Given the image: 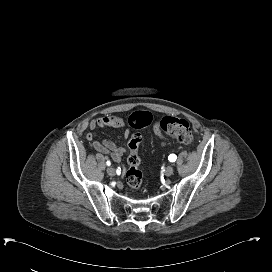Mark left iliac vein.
<instances>
[{"label":"left iliac vein","instance_id":"4c4485c4","mask_svg":"<svg viewBox=\"0 0 272 272\" xmlns=\"http://www.w3.org/2000/svg\"><path fill=\"white\" fill-rule=\"evenodd\" d=\"M173 172H174V168L172 165L167 166L166 169L164 170V174L166 176H171Z\"/></svg>","mask_w":272,"mask_h":272}]
</instances>
